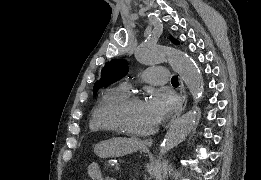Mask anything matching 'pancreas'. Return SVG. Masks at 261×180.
Returning a JSON list of instances; mask_svg holds the SVG:
<instances>
[{
	"label": "pancreas",
	"instance_id": "pancreas-1",
	"mask_svg": "<svg viewBox=\"0 0 261 180\" xmlns=\"http://www.w3.org/2000/svg\"><path fill=\"white\" fill-rule=\"evenodd\" d=\"M103 169L104 170H111L112 169V163L110 159H105L104 162L102 163Z\"/></svg>",
	"mask_w": 261,
	"mask_h": 180
}]
</instances>
